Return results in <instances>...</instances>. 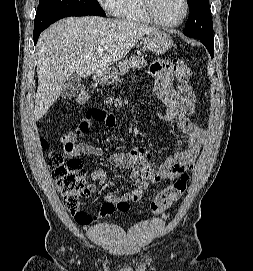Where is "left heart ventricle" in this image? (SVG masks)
<instances>
[{
  "label": "left heart ventricle",
  "mask_w": 253,
  "mask_h": 271,
  "mask_svg": "<svg viewBox=\"0 0 253 271\" xmlns=\"http://www.w3.org/2000/svg\"><path fill=\"white\" fill-rule=\"evenodd\" d=\"M154 9L158 17L168 23L180 20L184 13L183 0H154Z\"/></svg>",
  "instance_id": "obj_1"
}]
</instances>
